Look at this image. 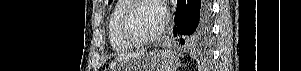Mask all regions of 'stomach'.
Returning <instances> with one entry per match:
<instances>
[{
    "mask_svg": "<svg viewBox=\"0 0 301 71\" xmlns=\"http://www.w3.org/2000/svg\"><path fill=\"white\" fill-rule=\"evenodd\" d=\"M178 56L170 50L144 52L136 58H129L113 65L110 71H176Z\"/></svg>",
    "mask_w": 301,
    "mask_h": 71,
    "instance_id": "1",
    "label": "stomach"
}]
</instances>
